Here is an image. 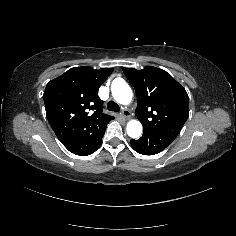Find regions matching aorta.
Wrapping results in <instances>:
<instances>
[{"mask_svg": "<svg viewBox=\"0 0 236 236\" xmlns=\"http://www.w3.org/2000/svg\"><path fill=\"white\" fill-rule=\"evenodd\" d=\"M111 93L120 104H128L132 100V89L125 81L116 86L111 85ZM126 130L130 138H139L142 134V125L137 121H131L127 124Z\"/></svg>", "mask_w": 236, "mask_h": 236, "instance_id": "1", "label": "aorta"}]
</instances>
